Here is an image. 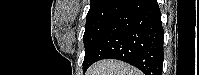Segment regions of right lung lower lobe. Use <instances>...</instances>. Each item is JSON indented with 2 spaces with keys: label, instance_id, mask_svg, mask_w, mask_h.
I'll use <instances>...</instances> for the list:
<instances>
[{
  "label": "right lung lower lobe",
  "instance_id": "obj_1",
  "mask_svg": "<svg viewBox=\"0 0 199 75\" xmlns=\"http://www.w3.org/2000/svg\"><path fill=\"white\" fill-rule=\"evenodd\" d=\"M107 58L127 62L145 75H162L163 27L156 0H128L105 29L83 72Z\"/></svg>",
  "mask_w": 199,
  "mask_h": 75
}]
</instances>
